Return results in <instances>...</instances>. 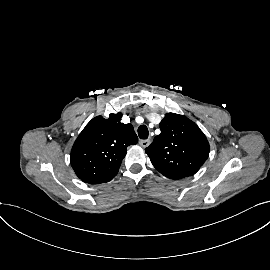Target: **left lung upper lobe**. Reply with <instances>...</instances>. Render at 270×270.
Instances as JSON below:
<instances>
[{"label": "left lung upper lobe", "instance_id": "obj_1", "mask_svg": "<svg viewBox=\"0 0 270 270\" xmlns=\"http://www.w3.org/2000/svg\"><path fill=\"white\" fill-rule=\"evenodd\" d=\"M145 152L164 176L178 180L194 175L209 156V142L200 128L186 116L168 113Z\"/></svg>", "mask_w": 270, "mask_h": 270}]
</instances>
